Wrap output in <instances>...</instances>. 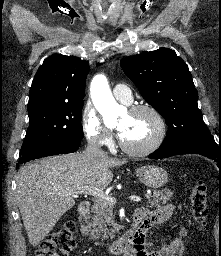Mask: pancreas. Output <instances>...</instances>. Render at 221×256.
<instances>
[{
    "label": "pancreas",
    "instance_id": "cf45deb5",
    "mask_svg": "<svg viewBox=\"0 0 221 256\" xmlns=\"http://www.w3.org/2000/svg\"><path fill=\"white\" fill-rule=\"evenodd\" d=\"M173 196L171 190L154 191L152 195L147 196L148 207H160L170 201ZM92 215L88 222V229L91 232V238L98 239L102 236L103 239H112L115 234L114 228H109L108 225H115L113 221V204L108 201L96 199L91 208Z\"/></svg>",
    "mask_w": 221,
    "mask_h": 256
}]
</instances>
